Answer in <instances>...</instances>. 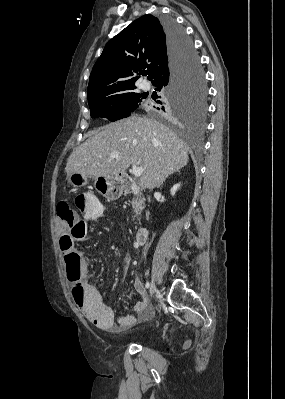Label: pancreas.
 I'll return each instance as SVG.
<instances>
[{
  "label": "pancreas",
  "instance_id": "pancreas-1",
  "mask_svg": "<svg viewBox=\"0 0 285 399\" xmlns=\"http://www.w3.org/2000/svg\"><path fill=\"white\" fill-rule=\"evenodd\" d=\"M145 199L141 197L139 194H135L132 199V207L134 209V219H139V215L144 208Z\"/></svg>",
  "mask_w": 285,
  "mask_h": 399
}]
</instances>
